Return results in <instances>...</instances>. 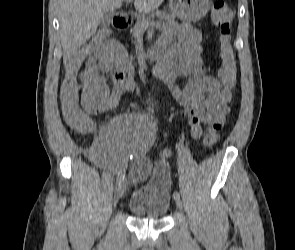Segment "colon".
I'll return each instance as SVG.
<instances>
[{
    "mask_svg": "<svg viewBox=\"0 0 295 250\" xmlns=\"http://www.w3.org/2000/svg\"><path fill=\"white\" fill-rule=\"evenodd\" d=\"M214 24L219 27V51L221 68L219 76L223 86L232 90L236 82V55L232 43V13L223 1L214 2L211 9ZM108 32L99 31L80 51L87 54L102 52L107 43ZM80 85L76 78L66 77L60 91V102L65 121L80 132H90L94 128L92 114L98 113L95 107H86L79 96ZM218 128L211 126L204 135V143L213 145Z\"/></svg>",
    "mask_w": 295,
    "mask_h": 250,
    "instance_id": "5ec220e1",
    "label": "colon"
}]
</instances>
